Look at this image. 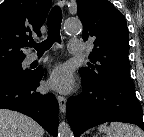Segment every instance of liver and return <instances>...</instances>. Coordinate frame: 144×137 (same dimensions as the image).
<instances>
[{
    "label": "liver",
    "instance_id": "liver-1",
    "mask_svg": "<svg viewBox=\"0 0 144 137\" xmlns=\"http://www.w3.org/2000/svg\"><path fill=\"white\" fill-rule=\"evenodd\" d=\"M44 129L30 117L0 109V137H43Z\"/></svg>",
    "mask_w": 144,
    "mask_h": 137
}]
</instances>
